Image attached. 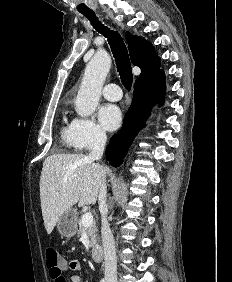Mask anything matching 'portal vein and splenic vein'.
Here are the masks:
<instances>
[{
  "mask_svg": "<svg viewBox=\"0 0 232 282\" xmlns=\"http://www.w3.org/2000/svg\"><path fill=\"white\" fill-rule=\"evenodd\" d=\"M82 224L84 225V227H89L92 223H93V215L90 212L85 213L82 216Z\"/></svg>",
  "mask_w": 232,
  "mask_h": 282,
  "instance_id": "18ae733b",
  "label": "portal vein and splenic vein"
}]
</instances>
